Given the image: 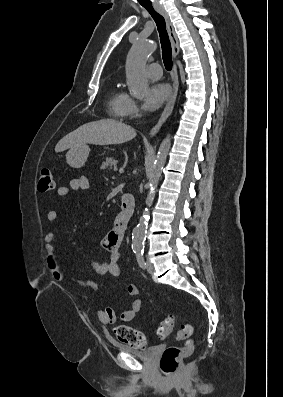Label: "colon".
Wrapping results in <instances>:
<instances>
[{
    "label": "colon",
    "instance_id": "colon-1",
    "mask_svg": "<svg viewBox=\"0 0 283 397\" xmlns=\"http://www.w3.org/2000/svg\"><path fill=\"white\" fill-rule=\"evenodd\" d=\"M55 187L53 173L50 169L44 168L41 170L38 180V189L40 192H49ZM175 327V319L173 316L165 317L157 330L159 337L167 339L171 336ZM114 333L119 341L127 345L142 348L145 345V335L126 325H119L115 327ZM193 335V326L191 324H182L178 331V338L185 340L186 343L182 347L169 346L167 347L160 359V370L165 376H172L177 373L180 367V362L184 357L192 354L194 345L191 340Z\"/></svg>",
    "mask_w": 283,
    "mask_h": 397
}]
</instances>
